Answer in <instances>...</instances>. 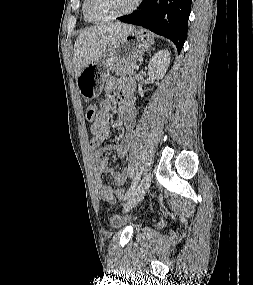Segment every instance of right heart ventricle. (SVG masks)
<instances>
[{
    "mask_svg": "<svg viewBox=\"0 0 253 285\" xmlns=\"http://www.w3.org/2000/svg\"><path fill=\"white\" fill-rule=\"evenodd\" d=\"M82 12H83V18L86 22H93L86 14L85 12V8H84V4H83V7H82Z\"/></svg>",
    "mask_w": 253,
    "mask_h": 285,
    "instance_id": "right-heart-ventricle-1",
    "label": "right heart ventricle"
}]
</instances>
